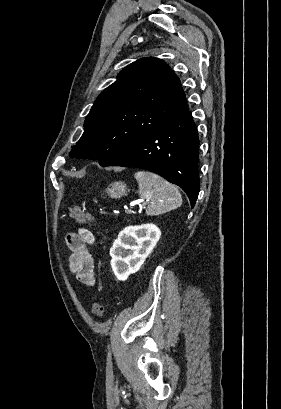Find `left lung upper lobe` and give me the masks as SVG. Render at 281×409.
<instances>
[{"label":"left lung upper lobe","instance_id":"obj_1","mask_svg":"<svg viewBox=\"0 0 281 409\" xmlns=\"http://www.w3.org/2000/svg\"><path fill=\"white\" fill-rule=\"evenodd\" d=\"M185 103L180 80L164 61L139 59L98 96L70 155L98 159L105 166Z\"/></svg>","mask_w":281,"mask_h":409}]
</instances>
